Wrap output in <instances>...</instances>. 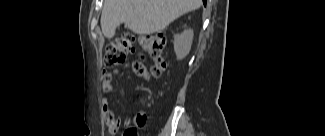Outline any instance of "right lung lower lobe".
Here are the masks:
<instances>
[{
  "instance_id": "98d812e1",
  "label": "right lung lower lobe",
  "mask_w": 325,
  "mask_h": 136,
  "mask_svg": "<svg viewBox=\"0 0 325 136\" xmlns=\"http://www.w3.org/2000/svg\"><path fill=\"white\" fill-rule=\"evenodd\" d=\"M203 3L206 4V0H203Z\"/></svg>"
}]
</instances>
